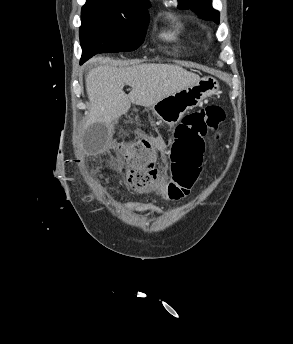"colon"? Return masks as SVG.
I'll return each mask as SVG.
<instances>
[{
    "mask_svg": "<svg viewBox=\"0 0 293 344\" xmlns=\"http://www.w3.org/2000/svg\"><path fill=\"white\" fill-rule=\"evenodd\" d=\"M225 117L218 105H209L187 114L176 127L171 144L173 174L160 180L153 173L154 142L139 138L119 146L116 165L125 172L126 183L138 194L157 192L170 200H178L190 192L201 168L205 137L217 133Z\"/></svg>",
    "mask_w": 293,
    "mask_h": 344,
    "instance_id": "colon-1",
    "label": "colon"
}]
</instances>
